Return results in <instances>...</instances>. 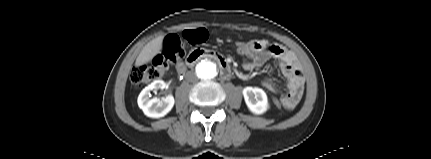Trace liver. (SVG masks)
<instances>
[{
	"mask_svg": "<svg viewBox=\"0 0 431 159\" xmlns=\"http://www.w3.org/2000/svg\"><path fill=\"white\" fill-rule=\"evenodd\" d=\"M163 36H159L149 43H147L143 49L141 50L140 54L138 55L135 67L139 68L140 66L150 62L157 54H159L162 50L163 45Z\"/></svg>",
	"mask_w": 431,
	"mask_h": 159,
	"instance_id": "obj_1",
	"label": "liver"
}]
</instances>
